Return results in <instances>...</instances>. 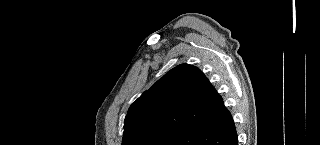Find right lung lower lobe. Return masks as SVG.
Here are the masks:
<instances>
[{
    "label": "right lung lower lobe",
    "instance_id": "98d812e1",
    "mask_svg": "<svg viewBox=\"0 0 320 145\" xmlns=\"http://www.w3.org/2000/svg\"><path fill=\"white\" fill-rule=\"evenodd\" d=\"M167 145H238V138L232 116L222 103L213 117L179 131Z\"/></svg>",
    "mask_w": 320,
    "mask_h": 145
}]
</instances>
